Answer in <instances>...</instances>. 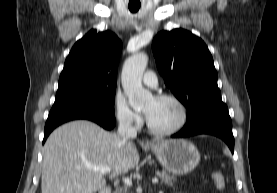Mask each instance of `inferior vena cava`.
Instances as JSON below:
<instances>
[{
  "mask_svg": "<svg viewBox=\"0 0 277 193\" xmlns=\"http://www.w3.org/2000/svg\"><path fill=\"white\" fill-rule=\"evenodd\" d=\"M118 135L124 140H129L137 136V131L132 126V118L127 116H121L119 118Z\"/></svg>",
  "mask_w": 277,
  "mask_h": 193,
  "instance_id": "602c4592",
  "label": "inferior vena cava"
}]
</instances>
